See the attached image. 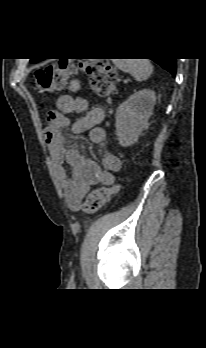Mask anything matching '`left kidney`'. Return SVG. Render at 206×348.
I'll list each match as a JSON object with an SVG mask.
<instances>
[{"mask_svg":"<svg viewBox=\"0 0 206 348\" xmlns=\"http://www.w3.org/2000/svg\"><path fill=\"white\" fill-rule=\"evenodd\" d=\"M156 102L155 92L143 89L130 95L116 111V136L122 147L137 142L143 130L147 129L148 120Z\"/></svg>","mask_w":206,"mask_h":348,"instance_id":"5707ae66","label":"left kidney"}]
</instances>
